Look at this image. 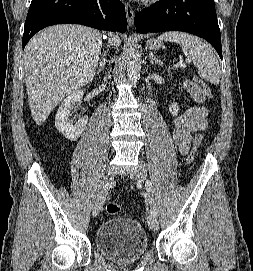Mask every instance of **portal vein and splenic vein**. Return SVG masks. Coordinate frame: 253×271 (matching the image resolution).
Returning <instances> with one entry per match:
<instances>
[{
  "mask_svg": "<svg viewBox=\"0 0 253 271\" xmlns=\"http://www.w3.org/2000/svg\"><path fill=\"white\" fill-rule=\"evenodd\" d=\"M180 67H181V68H185V67H186V64H185V63H181V64H180Z\"/></svg>",
  "mask_w": 253,
  "mask_h": 271,
  "instance_id": "portal-vein-and-splenic-vein-1",
  "label": "portal vein and splenic vein"
}]
</instances>
